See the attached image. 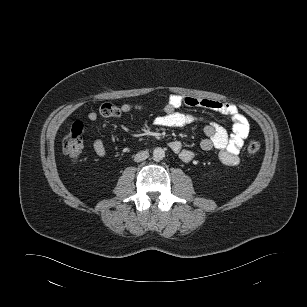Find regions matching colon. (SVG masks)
Wrapping results in <instances>:
<instances>
[{
    "label": "colon",
    "instance_id": "colon-1",
    "mask_svg": "<svg viewBox=\"0 0 307 307\" xmlns=\"http://www.w3.org/2000/svg\"><path fill=\"white\" fill-rule=\"evenodd\" d=\"M83 149V125L80 122L73 124L70 132L63 140V151L71 159H77ZM260 149V143L250 141L247 144L246 150L248 154H256Z\"/></svg>",
    "mask_w": 307,
    "mask_h": 307
}]
</instances>
